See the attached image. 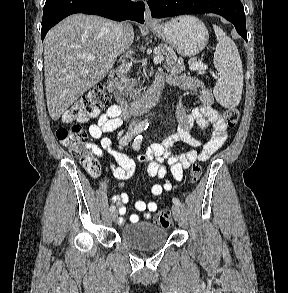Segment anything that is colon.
Returning a JSON list of instances; mask_svg holds the SVG:
<instances>
[{
	"mask_svg": "<svg viewBox=\"0 0 288 293\" xmlns=\"http://www.w3.org/2000/svg\"><path fill=\"white\" fill-rule=\"evenodd\" d=\"M107 102L108 93L105 86L102 84L94 86L62 114V125L56 130L58 141L79 159L83 168L92 176L99 173L100 166L88 144V135L81 123L95 116ZM223 117L227 126L233 128L238 123L240 112L236 107L228 108ZM201 175V166L194 164L190 170V181L197 183ZM155 223L162 227H169L170 212L159 211L155 216Z\"/></svg>",
	"mask_w": 288,
	"mask_h": 293,
	"instance_id": "1",
	"label": "colon"
}]
</instances>
